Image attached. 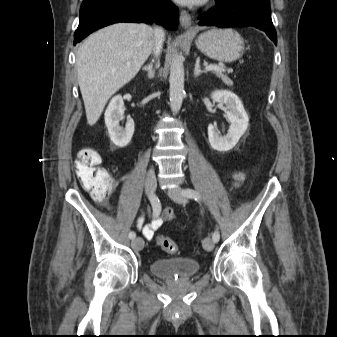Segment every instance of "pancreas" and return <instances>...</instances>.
<instances>
[{
    "instance_id": "cf45deb5",
    "label": "pancreas",
    "mask_w": 337,
    "mask_h": 337,
    "mask_svg": "<svg viewBox=\"0 0 337 337\" xmlns=\"http://www.w3.org/2000/svg\"><path fill=\"white\" fill-rule=\"evenodd\" d=\"M213 73L217 76V77H219V78H221L222 79V81L227 85V86H232L233 85V82L231 81V79L227 76V75H225V74H223L221 71H213Z\"/></svg>"
}]
</instances>
